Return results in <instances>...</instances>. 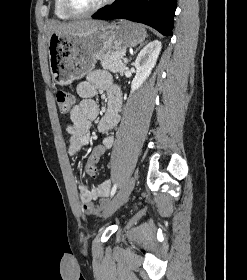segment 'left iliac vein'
Masks as SVG:
<instances>
[{
	"label": "left iliac vein",
	"instance_id": "left-iliac-vein-1",
	"mask_svg": "<svg viewBox=\"0 0 247 280\" xmlns=\"http://www.w3.org/2000/svg\"><path fill=\"white\" fill-rule=\"evenodd\" d=\"M135 185V178L131 177L129 178L123 186L120 188V190L117 192V194L114 196L106 210L104 211V217H109L112 215L129 197L130 193L132 192Z\"/></svg>",
	"mask_w": 247,
	"mask_h": 280
}]
</instances>
